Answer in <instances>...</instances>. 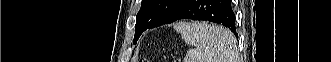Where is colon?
<instances>
[{
	"label": "colon",
	"mask_w": 331,
	"mask_h": 62,
	"mask_svg": "<svg viewBox=\"0 0 331 62\" xmlns=\"http://www.w3.org/2000/svg\"><path fill=\"white\" fill-rule=\"evenodd\" d=\"M138 62H149L148 60H146V59H139V61Z\"/></svg>",
	"instance_id": "obj_1"
}]
</instances>
